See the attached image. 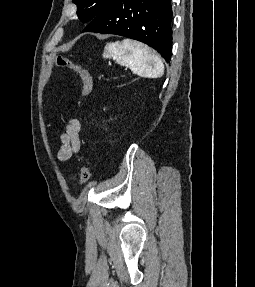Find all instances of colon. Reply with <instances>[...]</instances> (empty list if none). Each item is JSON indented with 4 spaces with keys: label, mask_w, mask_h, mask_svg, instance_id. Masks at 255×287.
<instances>
[{
    "label": "colon",
    "mask_w": 255,
    "mask_h": 287,
    "mask_svg": "<svg viewBox=\"0 0 255 287\" xmlns=\"http://www.w3.org/2000/svg\"><path fill=\"white\" fill-rule=\"evenodd\" d=\"M57 65L61 68L70 70L76 73L82 81V94L87 96L92 90V79L89 72L81 65L75 63L67 57H58ZM91 177V171L87 164H83L79 173V184L84 186Z\"/></svg>",
    "instance_id": "obj_1"
}]
</instances>
